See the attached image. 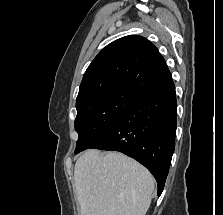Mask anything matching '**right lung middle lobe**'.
Masks as SVG:
<instances>
[{
	"instance_id": "dd1d6c3e",
	"label": "right lung middle lobe",
	"mask_w": 223,
	"mask_h": 215,
	"mask_svg": "<svg viewBox=\"0 0 223 215\" xmlns=\"http://www.w3.org/2000/svg\"><path fill=\"white\" fill-rule=\"evenodd\" d=\"M140 97L133 91L120 89L98 95L76 106L75 130L79 138L75 154L96 143Z\"/></svg>"
}]
</instances>
